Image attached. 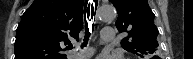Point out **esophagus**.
Wrapping results in <instances>:
<instances>
[{
  "mask_svg": "<svg viewBox=\"0 0 193 59\" xmlns=\"http://www.w3.org/2000/svg\"><path fill=\"white\" fill-rule=\"evenodd\" d=\"M88 3L93 4V6H95V3H96V5L98 7L99 1L90 0V1H88Z\"/></svg>",
  "mask_w": 193,
  "mask_h": 59,
  "instance_id": "34e87169",
  "label": "esophagus"
}]
</instances>
